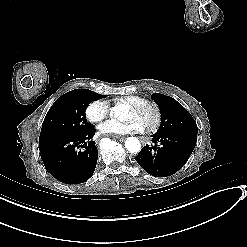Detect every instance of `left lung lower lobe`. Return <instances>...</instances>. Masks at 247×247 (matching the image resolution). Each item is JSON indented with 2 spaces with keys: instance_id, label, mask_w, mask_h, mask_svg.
<instances>
[{
  "instance_id": "obj_1",
  "label": "left lung lower lobe",
  "mask_w": 247,
  "mask_h": 247,
  "mask_svg": "<svg viewBox=\"0 0 247 247\" xmlns=\"http://www.w3.org/2000/svg\"><path fill=\"white\" fill-rule=\"evenodd\" d=\"M197 136L189 134H154L155 147L148 144L135 157L150 175L166 177L180 170L189 159Z\"/></svg>"
}]
</instances>
